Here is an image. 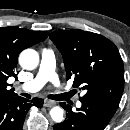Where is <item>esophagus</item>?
Here are the masks:
<instances>
[{"mask_svg":"<svg viewBox=\"0 0 130 130\" xmlns=\"http://www.w3.org/2000/svg\"><path fill=\"white\" fill-rule=\"evenodd\" d=\"M56 105V102L55 101H51V100H45L44 101V106L45 107H53Z\"/></svg>","mask_w":130,"mask_h":130,"instance_id":"34e87169","label":"esophagus"}]
</instances>
